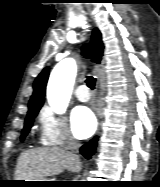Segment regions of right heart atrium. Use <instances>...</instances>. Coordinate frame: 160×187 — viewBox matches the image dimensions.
I'll use <instances>...</instances> for the list:
<instances>
[{
	"label": "right heart atrium",
	"instance_id": "d8ad5b80",
	"mask_svg": "<svg viewBox=\"0 0 160 187\" xmlns=\"http://www.w3.org/2000/svg\"><path fill=\"white\" fill-rule=\"evenodd\" d=\"M40 139L47 146H76L77 141L67 121L51 108H44L39 114Z\"/></svg>",
	"mask_w": 160,
	"mask_h": 187
}]
</instances>
